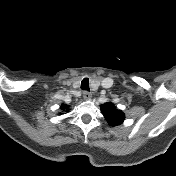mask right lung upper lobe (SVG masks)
<instances>
[{"label": "right lung upper lobe", "instance_id": "right-lung-upper-lobe-1", "mask_svg": "<svg viewBox=\"0 0 176 176\" xmlns=\"http://www.w3.org/2000/svg\"><path fill=\"white\" fill-rule=\"evenodd\" d=\"M65 108H66V106H64V105L61 107V109H65Z\"/></svg>", "mask_w": 176, "mask_h": 176}]
</instances>
